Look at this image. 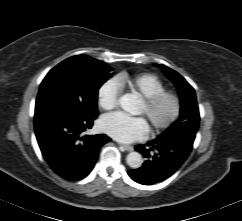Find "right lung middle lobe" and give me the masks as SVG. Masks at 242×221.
I'll list each match as a JSON object with an SVG mask.
<instances>
[{
    "label": "right lung middle lobe",
    "mask_w": 242,
    "mask_h": 221,
    "mask_svg": "<svg viewBox=\"0 0 242 221\" xmlns=\"http://www.w3.org/2000/svg\"><path fill=\"white\" fill-rule=\"evenodd\" d=\"M111 71L106 63L85 55L64 60L43 79L35 117L50 113L81 119L97 117L98 89L110 78Z\"/></svg>",
    "instance_id": "1"
}]
</instances>
